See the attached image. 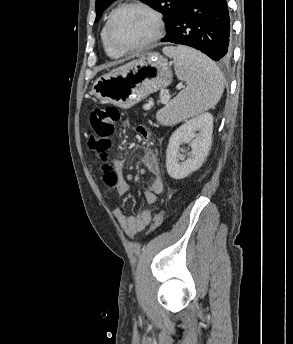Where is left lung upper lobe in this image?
<instances>
[{"mask_svg": "<svg viewBox=\"0 0 293 344\" xmlns=\"http://www.w3.org/2000/svg\"><path fill=\"white\" fill-rule=\"evenodd\" d=\"M115 0H96V20L97 22L101 17L103 11ZM141 2L148 4L152 8L160 11L165 19V25L167 31L171 29L176 19L178 11L180 9L183 0H140Z\"/></svg>", "mask_w": 293, "mask_h": 344, "instance_id": "obj_1", "label": "left lung upper lobe"}]
</instances>
